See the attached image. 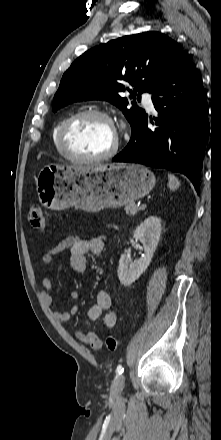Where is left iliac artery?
I'll return each instance as SVG.
<instances>
[{"label": "left iliac artery", "instance_id": "obj_1", "mask_svg": "<svg viewBox=\"0 0 221 440\" xmlns=\"http://www.w3.org/2000/svg\"><path fill=\"white\" fill-rule=\"evenodd\" d=\"M116 372H117L118 375H121L124 372L123 366L122 365H118L117 369H116Z\"/></svg>", "mask_w": 221, "mask_h": 440}]
</instances>
